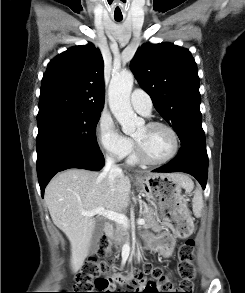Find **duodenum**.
Masks as SVG:
<instances>
[{"mask_svg": "<svg viewBox=\"0 0 245 293\" xmlns=\"http://www.w3.org/2000/svg\"><path fill=\"white\" fill-rule=\"evenodd\" d=\"M104 232L106 235L111 236L113 234V226L112 224L107 223L104 227Z\"/></svg>", "mask_w": 245, "mask_h": 293, "instance_id": "1", "label": "duodenum"}]
</instances>
